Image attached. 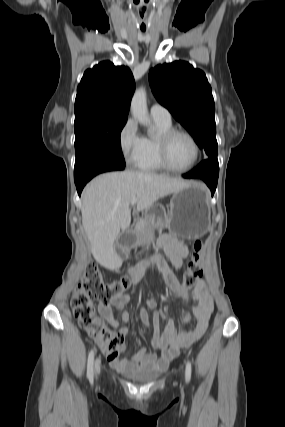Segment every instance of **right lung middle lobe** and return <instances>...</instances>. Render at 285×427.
Instances as JSON below:
<instances>
[{
  "mask_svg": "<svg viewBox=\"0 0 285 427\" xmlns=\"http://www.w3.org/2000/svg\"><path fill=\"white\" fill-rule=\"evenodd\" d=\"M127 119L81 117L75 119V169L78 174L94 161L125 164L120 133Z\"/></svg>",
  "mask_w": 285,
  "mask_h": 427,
  "instance_id": "right-lung-middle-lobe-1",
  "label": "right lung middle lobe"
}]
</instances>
